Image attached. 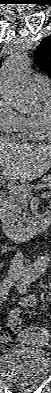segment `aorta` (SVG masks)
I'll return each mask as SVG.
<instances>
[{"mask_svg": "<svg viewBox=\"0 0 51 393\" xmlns=\"http://www.w3.org/2000/svg\"><path fill=\"white\" fill-rule=\"evenodd\" d=\"M29 60L25 50H18L8 57L2 66L1 91L11 106L22 113L39 109V101L33 84L27 78ZM50 259L43 255L41 260L32 261L29 272L32 275L44 270Z\"/></svg>", "mask_w": 51, "mask_h": 393, "instance_id": "aorta-1", "label": "aorta"}]
</instances>
